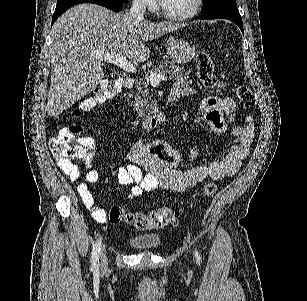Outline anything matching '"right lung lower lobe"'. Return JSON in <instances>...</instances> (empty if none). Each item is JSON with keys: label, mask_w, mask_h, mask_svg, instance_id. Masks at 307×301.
<instances>
[{"label": "right lung lower lobe", "mask_w": 307, "mask_h": 301, "mask_svg": "<svg viewBox=\"0 0 307 301\" xmlns=\"http://www.w3.org/2000/svg\"><path fill=\"white\" fill-rule=\"evenodd\" d=\"M80 3H94L101 6H104L108 9H111L115 12L121 10L124 1L122 0H68L63 3H59L56 6L55 12L52 17V24L56 21L58 17H60L66 10L71 8L72 6Z\"/></svg>", "instance_id": "98d812e1"}]
</instances>
